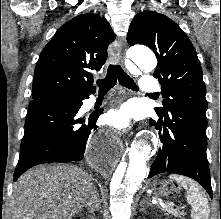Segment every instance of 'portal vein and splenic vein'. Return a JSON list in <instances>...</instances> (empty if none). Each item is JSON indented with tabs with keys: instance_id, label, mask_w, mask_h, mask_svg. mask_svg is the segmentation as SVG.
I'll use <instances>...</instances> for the list:
<instances>
[{
	"instance_id": "1",
	"label": "portal vein and splenic vein",
	"mask_w": 221,
	"mask_h": 219,
	"mask_svg": "<svg viewBox=\"0 0 221 219\" xmlns=\"http://www.w3.org/2000/svg\"><path fill=\"white\" fill-rule=\"evenodd\" d=\"M159 204H160L161 207L173 205V204H167V205H166V204H164V203H162V202H160Z\"/></svg>"
}]
</instances>
